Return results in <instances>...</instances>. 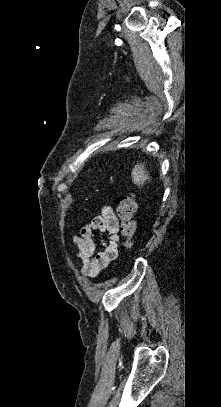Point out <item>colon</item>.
I'll return each instance as SVG.
<instances>
[{
  "instance_id": "1",
  "label": "colon",
  "mask_w": 221,
  "mask_h": 407,
  "mask_svg": "<svg viewBox=\"0 0 221 407\" xmlns=\"http://www.w3.org/2000/svg\"><path fill=\"white\" fill-rule=\"evenodd\" d=\"M117 216L120 220L119 231L123 238L122 246L128 248L136 234L134 214L137 201L133 195H121L116 198Z\"/></svg>"
}]
</instances>
